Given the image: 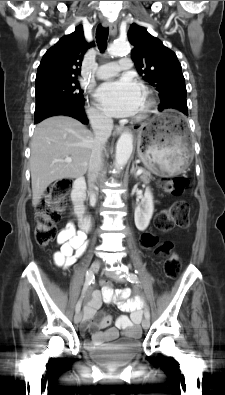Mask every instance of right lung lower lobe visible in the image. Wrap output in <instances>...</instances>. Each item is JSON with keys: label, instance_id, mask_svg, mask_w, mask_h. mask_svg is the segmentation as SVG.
<instances>
[{"label": "right lung lower lobe", "instance_id": "right-lung-lower-lobe-1", "mask_svg": "<svg viewBox=\"0 0 225 395\" xmlns=\"http://www.w3.org/2000/svg\"><path fill=\"white\" fill-rule=\"evenodd\" d=\"M53 115H66L78 119L82 123H88L84 113L83 101H62L54 103L42 111L35 113L34 123H39L43 119Z\"/></svg>", "mask_w": 225, "mask_h": 395}]
</instances>
